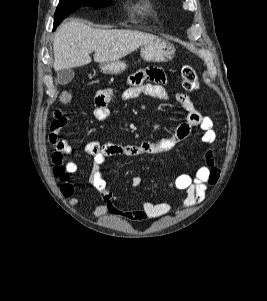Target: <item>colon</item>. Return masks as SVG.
Returning a JSON list of instances; mask_svg holds the SVG:
<instances>
[{
  "instance_id": "1",
  "label": "colon",
  "mask_w": 267,
  "mask_h": 301,
  "mask_svg": "<svg viewBox=\"0 0 267 301\" xmlns=\"http://www.w3.org/2000/svg\"><path fill=\"white\" fill-rule=\"evenodd\" d=\"M181 84L187 91L196 90L199 87V79L196 71L190 65H185L181 70ZM73 95L69 90H63L60 94V101L64 104L70 103Z\"/></svg>"
}]
</instances>
